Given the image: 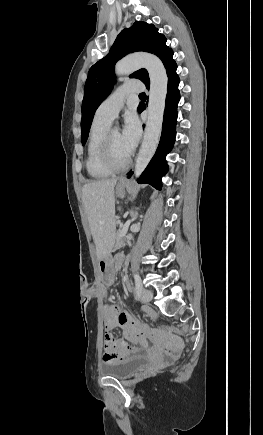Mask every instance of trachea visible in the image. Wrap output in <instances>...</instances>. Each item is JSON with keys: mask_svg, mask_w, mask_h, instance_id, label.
<instances>
[{"mask_svg": "<svg viewBox=\"0 0 263 435\" xmlns=\"http://www.w3.org/2000/svg\"><path fill=\"white\" fill-rule=\"evenodd\" d=\"M139 96L140 97H146V94L145 93H141V94H139Z\"/></svg>", "mask_w": 263, "mask_h": 435, "instance_id": "3493384b", "label": "trachea"}]
</instances>
